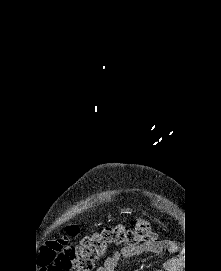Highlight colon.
I'll return each mask as SVG.
<instances>
[{"mask_svg": "<svg viewBox=\"0 0 221 271\" xmlns=\"http://www.w3.org/2000/svg\"><path fill=\"white\" fill-rule=\"evenodd\" d=\"M76 233L77 228L71 227L69 234ZM157 236L158 228L145 218L135 219L131 226L105 225L77 244H69L66 238L48 240L38 252L37 263L41 271H92L113 246L136 248Z\"/></svg>", "mask_w": 221, "mask_h": 271, "instance_id": "5ec220e1", "label": "colon"}]
</instances>
